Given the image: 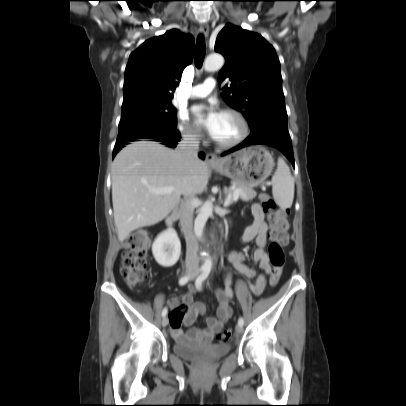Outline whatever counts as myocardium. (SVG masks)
<instances>
[{
	"label": "myocardium",
	"instance_id": "myocardium-1",
	"mask_svg": "<svg viewBox=\"0 0 406 406\" xmlns=\"http://www.w3.org/2000/svg\"><path fill=\"white\" fill-rule=\"evenodd\" d=\"M221 114H230V115L234 116L240 124L241 132L237 138H235L234 140L228 141V142L218 141L214 137H212V139L218 147H221V148L235 147V146L239 145L240 143H242L248 137L249 132H250L249 124H248L246 118L243 116V114L234 108H224L221 110Z\"/></svg>",
	"mask_w": 406,
	"mask_h": 406
}]
</instances>
